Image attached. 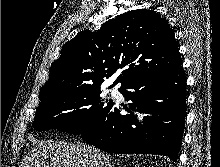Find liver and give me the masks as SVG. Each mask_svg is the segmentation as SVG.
Returning <instances> with one entry per match:
<instances>
[{
  "instance_id": "6515ba94",
  "label": "liver",
  "mask_w": 220,
  "mask_h": 167,
  "mask_svg": "<svg viewBox=\"0 0 220 167\" xmlns=\"http://www.w3.org/2000/svg\"><path fill=\"white\" fill-rule=\"evenodd\" d=\"M111 156L84 144L41 141L20 167H112Z\"/></svg>"
}]
</instances>
